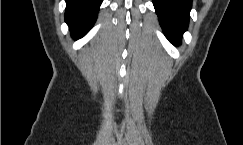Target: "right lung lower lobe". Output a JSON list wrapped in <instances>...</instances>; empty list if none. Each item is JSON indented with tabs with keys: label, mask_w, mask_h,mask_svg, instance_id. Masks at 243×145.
Listing matches in <instances>:
<instances>
[{
	"label": "right lung lower lobe",
	"mask_w": 243,
	"mask_h": 145,
	"mask_svg": "<svg viewBox=\"0 0 243 145\" xmlns=\"http://www.w3.org/2000/svg\"><path fill=\"white\" fill-rule=\"evenodd\" d=\"M103 0H66L65 21L75 39L83 37L96 21Z\"/></svg>",
	"instance_id": "1"
}]
</instances>
